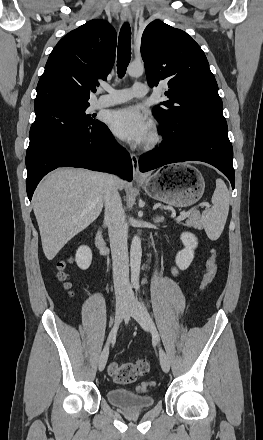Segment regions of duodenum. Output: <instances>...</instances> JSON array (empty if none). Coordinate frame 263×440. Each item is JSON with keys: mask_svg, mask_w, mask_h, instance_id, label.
I'll return each instance as SVG.
<instances>
[{"mask_svg": "<svg viewBox=\"0 0 263 440\" xmlns=\"http://www.w3.org/2000/svg\"><path fill=\"white\" fill-rule=\"evenodd\" d=\"M95 244H96V247L99 250L101 255L107 256L109 254V248H108L107 243L103 237V229L102 228H99L96 233Z\"/></svg>", "mask_w": 263, "mask_h": 440, "instance_id": "obj_1", "label": "duodenum"}]
</instances>
